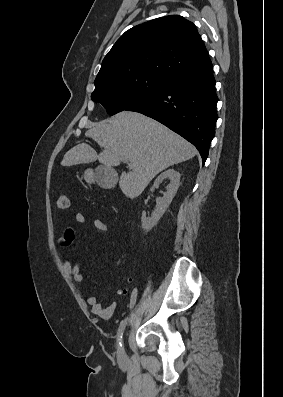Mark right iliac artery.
I'll return each instance as SVG.
<instances>
[{"label":"right iliac artery","mask_w":283,"mask_h":397,"mask_svg":"<svg viewBox=\"0 0 283 397\" xmlns=\"http://www.w3.org/2000/svg\"><path fill=\"white\" fill-rule=\"evenodd\" d=\"M130 303L131 305H134L137 303V295H136V290L132 291V295L130 298ZM127 319H124L121 321L120 326L118 328L117 332V346L118 350L122 347V337H123V332L126 326Z\"/></svg>","instance_id":"obj_1"}]
</instances>
